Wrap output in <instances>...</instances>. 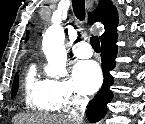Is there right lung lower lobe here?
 <instances>
[{
	"label": "right lung lower lobe",
	"instance_id": "right-lung-lower-lobe-1",
	"mask_svg": "<svg viewBox=\"0 0 145 124\" xmlns=\"http://www.w3.org/2000/svg\"><path fill=\"white\" fill-rule=\"evenodd\" d=\"M117 31L109 33L101 40V60L102 69L104 74V83L90 101L87 106L86 116L92 123L101 120L107 112V103L113 98V93L110 90V86L114 83V79L110 74V71L115 67V58L117 55Z\"/></svg>",
	"mask_w": 145,
	"mask_h": 124
}]
</instances>
